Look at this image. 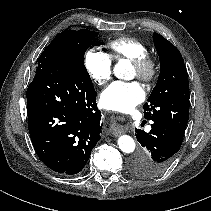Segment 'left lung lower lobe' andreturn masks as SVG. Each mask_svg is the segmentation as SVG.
I'll list each match as a JSON object with an SVG mask.
<instances>
[{
  "instance_id": "0a47b994",
  "label": "left lung lower lobe",
  "mask_w": 211,
  "mask_h": 211,
  "mask_svg": "<svg viewBox=\"0 0 211 211\" xmlns=\"http://www.w3.org/2000/svg\"><path fill=\"white\" fill-rule=\"evenodd\" d=\"M151 127L149 133L135 131L137 140L148 150L149 155L139 154L130 160L131 171L143 178L163 173L174 160L184 137V132L165 121L154 120Z\"/></svg>"
}]
</instances>
